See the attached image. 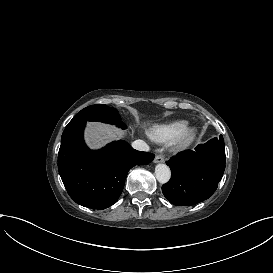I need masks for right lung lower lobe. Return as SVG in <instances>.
I'll list each match as a JSON object with an SVG mask.
<instances>
[{"label":"right lung lower lobe","instance_id":"obj_1","mask_svg":"<svg viewBox=\"0 0 273 273\" xmlns=\"http://www.w3.org/2000/svg\"><path fill=\"white\" fill-rule=\"evenodd\" d=\"M87 121H73L66 126L58 152V170L70 197L78 204L105 209L121 195L128 171L146 165L154 154L134 150L119 140L93 151L84 143Z\"/></svg>","mask_w":273,"mask_h":273}]
</instances>
